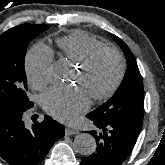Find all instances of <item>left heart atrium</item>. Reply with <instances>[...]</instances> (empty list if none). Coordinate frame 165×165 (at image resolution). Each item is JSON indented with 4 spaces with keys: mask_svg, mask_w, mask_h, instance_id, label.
<instances>
[{
    "mask_svg": "<svg viewBox=\"0 0 165 165\" xmlns=\"http://www.w3.org/2000/svg\"><path fill=\"white\" fill-rule=\"evenodd\" d=\"M43 108L54 118L71 122L89 106V95L80 87L52 88L42 96Z\"/></svg>",
    "mask_w": 165,
    "mask_h": 165,
    "instance_id": "obj_1",
    "label": "left heart atrium"
}]
</instances>
